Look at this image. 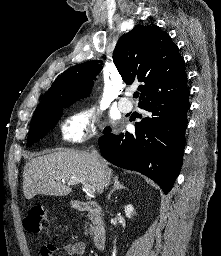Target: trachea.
Segmentation results:
<instances>
[{
	"instance_id": "3493384b",
	"label": "trachea",
	"mask_w": 221,
	"mask_h": 256,
	"mask_svg": "<svg viewBox=\"0 0 221 256\" xmlns=\"http://www.w3.org/2000/svg\"><path fill=\"white\" fill-rule=\"evenodd\" d=\"M133 97H134V98H138V97H139V92H135V93L133 94Z\"/></svg>"
}]
</instances>
